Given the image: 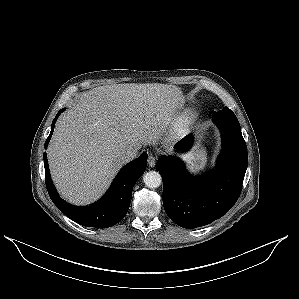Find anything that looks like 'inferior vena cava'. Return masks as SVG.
<instances>
[{
    "label": "inferior vena cava",
    "instance_id": "inferior-vena-cava-1",
    "mask_svg": "<svg viewBox=\"0 0 299 299\" xmlns=\"http://www.w3.org/2000/svg\"><path fill=\"white\" fill-rule=\"evenodd\" d=\"M138 147H129L121 154V161L123 163H128L131 160L135 159L138 154Z\"/></svg>",
    "mask_w": 299,
    "mask_h": 299
}]
</instances>
